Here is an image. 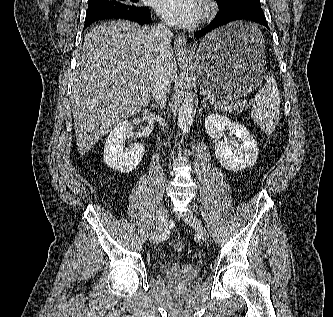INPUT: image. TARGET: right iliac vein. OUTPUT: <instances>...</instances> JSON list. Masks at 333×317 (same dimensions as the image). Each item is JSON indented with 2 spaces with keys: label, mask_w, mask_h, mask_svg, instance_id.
<instances>
[{
  "label": "right iliac vein",
  "mask_w": 333,
  "mask_h": 317,
  "mask_svg": "<svg viewBox=\"0 0 333 317\" xmlns=\"http://www.w3.org/2000/svg\"><path fill=\"white\" fill-rule=\"evenodd\" d=\"M157 224L156 228L150 236V242L155 243L159 241L160 237L164 235L168 230V216L165 206H161L157 212Z\"/></svg>",
  "instance_id": "1"
}]
</instances>
